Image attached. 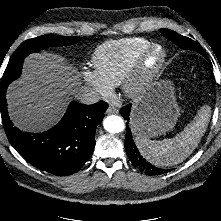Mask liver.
Returning <instances> with one entry per match:
<instances>
[{
    "instance_id": "1",
    "label": "liver",
    "mask_w": 221,
    "mask_h": 221,
    "mask_svg": "<svg viewBox=\"0 0 221 221\" xmlns=\"http://www.w3.org/2000/svg\"><path fill=\"white\" fill-rule=\"evenodd\" d=\"M76 70L52 53L26 58L22 77L9 86V114L25 131L45 129L63 114L67 102L80 87Z\"/></svg>"
}]
</instances>
